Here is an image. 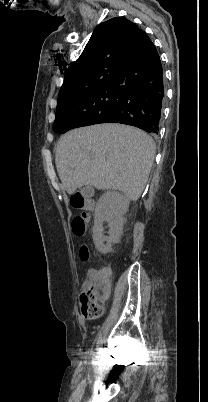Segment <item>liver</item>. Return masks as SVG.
Here are the masks:
<instances>
[{"label":"liver","instance_id":"obj_1","mask_svg":"<svg viewBox=\"0 0 208 402\" xmlns=\"http://www.w3.org/2000/svg\"><path fill=\"white\" fill-rule=\"evenodd\" d=\"M154 156L155 144L146 132L124 124H97L61 136L55 162L67 194L94 186L121 190L136 202L147 184Z\"/></svg>","mask_w":208,"mask_h":402}]
</instances>
